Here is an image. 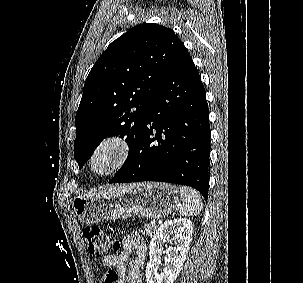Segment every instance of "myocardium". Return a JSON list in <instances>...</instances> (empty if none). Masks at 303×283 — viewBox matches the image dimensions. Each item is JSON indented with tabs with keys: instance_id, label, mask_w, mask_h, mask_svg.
Listing matches in <instances>:
<instances>
[{
	"instance_id": "f54148a6",
	"label": "myocardium",
	"mask_w": 303,
	"mask_h": 283,
	"mask_svg": "<svg viewBox=\"0 0 303 283\" xmlns=\"http://www.w3.org/2000/svg\"><path fill=\"white\" fill-rule=\"evenodd\" d=\"M106 150L111 153V160L106 167L98 169L96 167L97 158ZM130 154L131 145L125 136L108 134L101 138L92 148L87 161L88 170L95 177L110 176L126 164Z\"/></svg>"
}]
</instances>
